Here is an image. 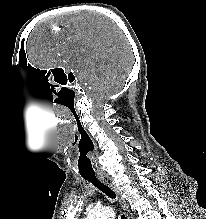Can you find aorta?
<instances>
[{
  "label": "aorta",
  "instance_id": "obj_1",
  "mask_svg": "<svg viewBox=\"0 0 206 219\" xmlns=\"http://www.w3.org/2000/svg\"><path fill=\"white\" fill-rule=\"evenodd\" d=\"M115 214L114 211L109 208H99L93 209L88 215L86 219H114Z\"/></svg>",
  "mask_w": 206,
  "mask_h": 219
}]
</instances>
